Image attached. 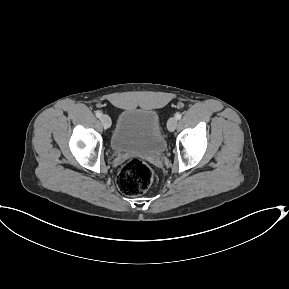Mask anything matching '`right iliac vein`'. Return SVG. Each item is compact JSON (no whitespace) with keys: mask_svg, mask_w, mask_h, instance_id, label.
Masks as SVG:
<instances>
[{"mask_svg":"<svg viewBox=\"0 0 289 289\" xmlns=\"http://www.w3.org/2000/svg\"><path fill=\"white\" fill-rule=\"evenodd\" d=\"M100 120L104 128H109L111 126V119L108 115H102Z\"/></svg>","mask_w":289,"mask_h":289,"instance_id":"right-iliac-vein-1","label":"right iliac vein"}]
</instances>
